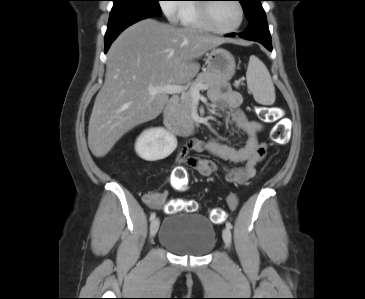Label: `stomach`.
<instances>
[{
	"label": "stomach",
	"mask_w": 365,
	"mask_h": 299,
	"mask_svg": "<svg viewBox=\"0 0 365 299\" xmlns=\"http://www.w3.org/2000/svg\"><path fill=\"white\" fill-rule=\"evenodd\" d=\"M208 70L225 78H231L235 73V59L233 55L222 48H213L206 54Z\"/></svg>",
	"instance_id": "1"
}]
</instances>
